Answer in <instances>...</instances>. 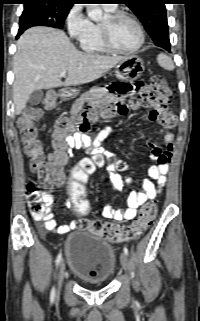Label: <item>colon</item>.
Wrapping results in <instances>:
<instances>
[{"label":"colon","instance_id":"1","mask_svg":"<svg viewBox=\"0 0 200 321\" xmlns=\"http://www.w3.org/2000/svg\"><path fill=\"white\" fill-rule=\"evenodd\" d=\"M144 83V82H136ZM145 89L139 90V96L131 98V106H154L164 107L168 104L174 95L173 90L162 76H153L149 82L144 83ZM45 110H52L56 106V97L54 94H48L42 101ZM128 105L120 102L113 108H107L104 111L105 116H111L115 113L125 114L128 111ZM42 109L29 108L19 119V129L21 142L25 152L30 157V166L35 173L38 183L29 182L27 185V201L30 213L35 218L43 217L46 212L44 194L49 192L55 182L63 177V160L66 147L63 144V138L74 127L80 132L89 130L90 125L97 118V113L93 109H86L74 113L72 116L59 121L55 128L53 152L46 157L39 138L38 129L35 123L42 116ZM168 127L175 123L174 118L170 115L167 119ZM102 164V159L94 157L80 162L76 166L70 177L66 197L69 198L72 212L75 216H87L90 202L85 196L86 187L84 186L88 175L96 166ZM117 169H124L123 162L116 164ZM157 214V205L154 201L148 202L142 206L137 219L128 226H122L115 223H108L102 220L81 219L79 225L86 228L94 234L116 243L126 242L137 239L142 236L151 226Z\"/></svg>","mask_w":200,"mask_h":321}]
</instances>
